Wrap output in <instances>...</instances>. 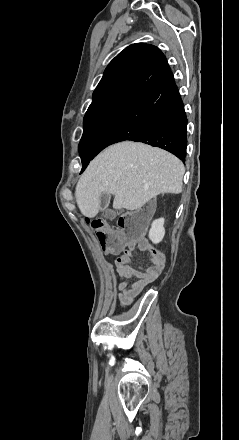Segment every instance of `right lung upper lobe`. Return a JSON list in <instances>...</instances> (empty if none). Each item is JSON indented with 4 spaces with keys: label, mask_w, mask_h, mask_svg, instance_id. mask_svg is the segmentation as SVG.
<instances>
[{
    "label": "right lung upper lobe",
    "mask_w": 239,
    "mask_h": 440,
    "mask_svg": "<svg viewBox=\"0 0 239 440\" xmlns=\"http://www.w3.org/2000/svg\"><path fill=\"white\" fill-rule=\"evenodd\" d=\"M171 69L157 47L136 43L125 48L107 66L89 107L117 98H135L159 83Z\"/></svg>",
    "instance_id": "right-lung-upper-lobe-1"
}]
</instances>
